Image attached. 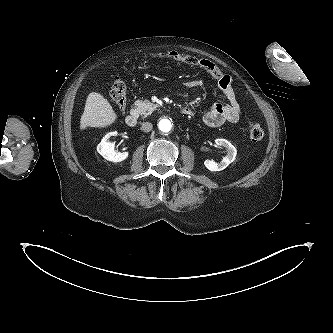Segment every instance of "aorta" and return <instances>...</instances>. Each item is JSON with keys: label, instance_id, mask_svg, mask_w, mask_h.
<instances>
[{"label": "aorta", "instance_id": "1", "mask_svg": "<svg viewBox=\"0 0 333 333\" xmlns=\"http://www.w3.org/2000/svg\"><path fill=\"white\" fill-rule=\"evenodd\" d=\"M158 128L162 131V132H169L172 128V123L170 120L168 119H161L158 123Z\"/></svg>", "mask_w": 333, "mask_h": 333}]
</instances>
